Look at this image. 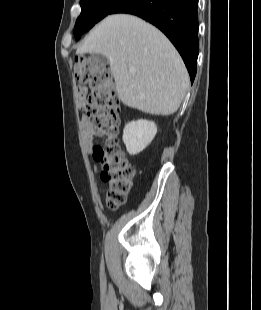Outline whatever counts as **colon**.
Masks as SVG:
<instances>
[{"label": "colon", "mask_w": 261, "mask_h": 310, "mask_svg": "<svg viewBox=\"0 0 261 310\" xmlns=\"http://www.w3.org/2000/svg\"><path fill=\"white\" fill-rule=\"evenodd\" d=\"M77 81L91 89L82 105L92 122L93 132L104 137L102 145L93 147V157L103 166L101 179L108 184L106 203L110 209L123 205L133 187L134 167L126 159L118 142L120 101L109 69L93 57L76 59Z\"/></svg>", "instance_id": "1"}]
</instances>
